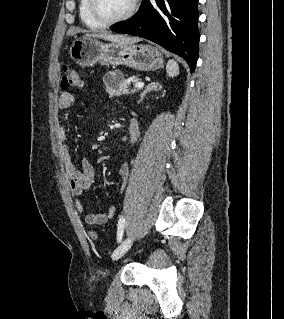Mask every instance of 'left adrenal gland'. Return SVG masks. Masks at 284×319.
Wrapping results in <instances>:
<instances>
[{"instance_id": "left-adrenal-gland-1", "label": "left adrenal gland", "mask_w": 284, "mask_h": 319, "mask_svg": "<svg viewBox=\"0 0 284 319\" xmlns=\"http://www.w3.org/2000/svg\"><path fill=\"white\" fill-rule=\"evenodd\" d=\"M159 84L155 81L150 82L145 89L143 90V92L140 94V99L138 101V103L142 102L144 99V96L146 95V93L153 91V90H157Z\"/></svg>"}]
</instances>
